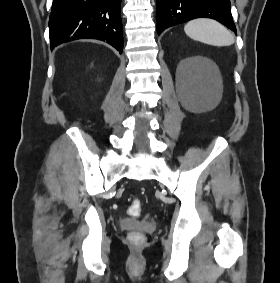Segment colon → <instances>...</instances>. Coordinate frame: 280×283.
<instances>
[{
  "instance_id": "1",
  "label": "colon",
  "mask_w": 280,
  "mask_h": 283,
  "mask_svg": "<svg viewBox=\"0 0 280 283\" xmlns=\"http://www.w3.org/2000/svg\"><path fill=\"white\" fill-rule=\"evenodd\" d=\"M140 212H141V203H140L139 200L136 199L129 206L128 213L132 217H137V216L140 215ZM131 237L134 238V239H139V238H141V234L137 233V232H133L131 234Z\"/></svg>"
}]
</instances>
